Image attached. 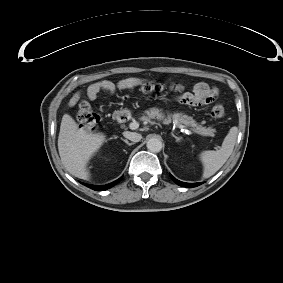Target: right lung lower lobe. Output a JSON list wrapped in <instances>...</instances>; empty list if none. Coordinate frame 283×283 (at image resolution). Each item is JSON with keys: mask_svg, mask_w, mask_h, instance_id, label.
<instances>
[{"mask_svg": "<svg viewBox=\"0 0 283 283\" xmlns=\"http://www.w3.org/2000/svg\"><path fill=\"white\" fill-rule=\"evenodd\" d=\"M121 178L117 179L116 181L106 184V185H89V184H85L87 187L96 190V191H104L106 189H109L111 187H113L114 185H116Z\"/></svg>", "mask_w": 283, "mask_h": 283, "instance_id": "right-lung-lower-lobe-1", "label": "right lung lower lobe"}]
</instances>
